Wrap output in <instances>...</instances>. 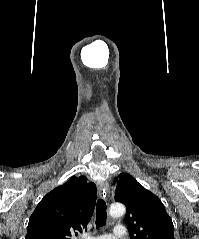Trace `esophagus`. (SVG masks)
I'll return each instance as SVG.
<instances>
[{
	"instance_id": "1",
	"label": "esophagus",
	"mask_w": 199,
	"mask_h": 239,
	"mask_svg": "<svg viewBox=\"0 0 199 239\" xmlns=\"http://www.w3.org/2000/svg\"><path fill=\"white\" fill-rule=\"evenodd\" d=\"M109 192H110L109 184L107 182H103L99 186V195L104 199L106 198L108 199Z\"/></svg>"
}]
</instances>
